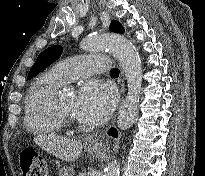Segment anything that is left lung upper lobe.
I'll return each instance as SVG.
<instances>
[{
  "instance_id": "left-lung-upper-lobe-1",
  "label": "left lung upper lobe",
  "mask_w": 205,
  "mask_h": 176,
  "mask_svg": "<svg viewBox=\"0 0 205 176\" xmlns=\"http://www.w3.org/2000/svg\"><path fill=\"white\" fill-rule=\"evenodd\" d=\"M109 30L112 32L124 33L123 26L117 21L111 22ZM61 53H62V47L59 45H54L44 50L37 57L36 62L31 68V70L29 71L27 78L29 79L33 77L35 74L44 70L47 66H49L51 63L56 61L60 57Z\"/></svg>"
}]
</instances>
